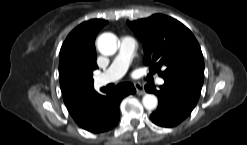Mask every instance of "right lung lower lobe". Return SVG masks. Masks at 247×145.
Here are the masks:
<instances>
[{
	"mask_svg": "<svg viewBox=\"0 0 247 145\" xmlns=\"http://www.w3.org/2000/svg\"><path fill=\"white\" fill-rule=\"evenodd\" d=\"M104 92L105 95H101L93 88L66 104L69 113L81 128L100 133L115 127L120 118V101L136 90L131 83H122L113 90Z\"/></svg>",
	"mask_w": 247,
	"mask_h": 145,
	"instance_id": "1",
	"label": "right lung lower lobe"
}]
</instances>
